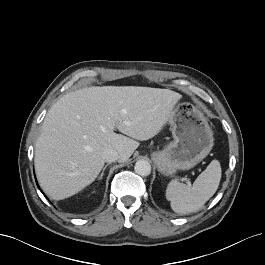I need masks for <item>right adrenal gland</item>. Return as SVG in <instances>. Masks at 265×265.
Returning a JSON list of instances; mask_svg holds the SVG:
<instances>
[{"instance_id":"obj_1","label":"right adrenal gland","mask_w":265,"mask_h":265,"mask_svg":"<svg viewBox=\"0 0 265 265\" xmlns=\"http://www.w3.org/2000/svg\"><path fill=\"white\" fill-rule=\"evenodd\" d=\"M108 165L109 164H106L105 166H104V168H103V170H102V172H101V174H100V176H99V180H101L102 178H103V175H104V172H105V170H106V168L108 167Z\"/></svg>"}]
</instances>
